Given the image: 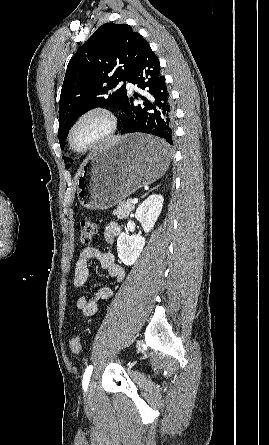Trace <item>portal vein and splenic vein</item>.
Listing matches in <instances>:
<instances>
[{
    "instance_id": "1",
    "label": "portal vein and splenic vein",
    "mask_w": 269,
    "mask_h": 445,
    "mask_svg": "<svg viewBox=\"0 0 269 445\" xmlns=\"http://www.w3.org/2000/svg\"><path fill=\"white\" fill-rule=\"evenodd\" d=\"M131 202H132L133 204H136V203L138 202V200H137V199H133Z\"/></svg>"
}]
</instances>
